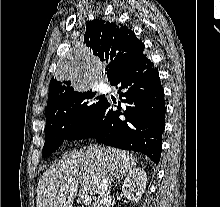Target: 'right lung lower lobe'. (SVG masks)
Listing matches in <instances>:
<instances>
[{
	"mask_svg": "<svg viewBox=\"0 0 220 207\" xmlns=\"http://www.w3.org/2000/svg\"><path fill=\"white\" fill-rule=\"evenodd\" d=\"M110 84L121 85L118 93L125 106L122 108L119 102L118 110L113 111L105 99L93 117L69 140L95 138L108 146L141 152L158 164L165 128V101L153 62L140 53Z\"/></svg>",
	"mask_w": 220,
	"mask_h": 207,
	"instance_id": "obj_1",
	"label": "right lung lower lobe"
}]
</instances>
